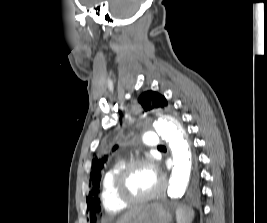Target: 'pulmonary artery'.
Segmentation results:
<instances>
[{"mask_svg": "<svg viewBox=\"0 0 267 223\" xmlns=\"http://www.w3.org/2000/svg\"><path fill=\"white\" fill-rule=\"evenodd\" d=\"M143 142L146 146H149V147H156L157 145L160 144V140L158 136L153 133L144 135Z\"/></svg>", "mask_w": 267, "mask_h": 223, "instance_id": "1", "label": "pulmonary artery"}]
</instances>
